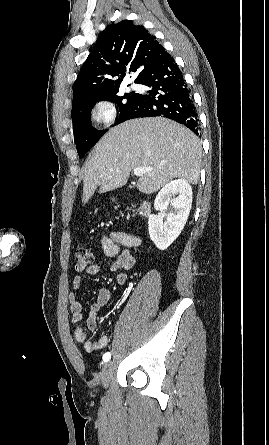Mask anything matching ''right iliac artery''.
<instances>
[{"instance_id": "1", "label": "right iliac artery", "mask_w": 269, "mask_h": 445, "mask_svg": "<svg viewBox=\"0 0 269 445\" xmlns=\"http://www.w3.org/2000/svg\"><path fill=\"white\" fill-rule=\"evenodd\" d=\"M110 357H111L110 352H106V353L103 355V361H104V362L109 361Z\"/></svg>"}]
</instances>
